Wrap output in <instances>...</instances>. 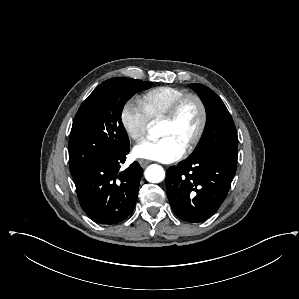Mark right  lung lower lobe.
Masks as SVG:
<instances>
[{"label":"right lung lower lobe","instance_id":"right-lung-lower-lobe-1","mask_svg":"<svg viewBox=\"0 0 299 299\" xmlns=\"http://www.w3.org/2000/svg\"><path fill=\"white\" fill-rule=\"evenodd\" d=\"M128 153L129 147L73 176L82 209L100 224L126 219L135 206L143 170L134 162L119 171Z\"/></svg>","mask_w":299,"mask_h":299}]
</instances>
